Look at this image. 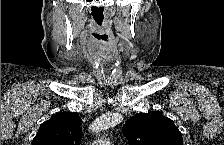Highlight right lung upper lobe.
Returning a JSON list of instances; mask_svg holds the SVG:
<instances>
[{
    "mask_svg": "<svg viewBox=\"0 0 224 145\" xmlns=\"http://www.w3.org/2000/svg\"><path fill=\"white\" fill-rule=\"evenodd\" d=\"M81 118L76 113L60 112L41 124L32 145H79Z\"/></svg>",
    "mask_w": 224,
    "mask_h": 145,
    "instance_id": "cb5924a9",
    "label": "right lung upper lobe"
}]
</instances>
